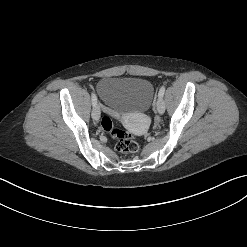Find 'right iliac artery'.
<instances>
[{"mask_svg": "<svg viewBox=\"0 0 247 247\" xmlns=\"http://www.w3.org/2000/svg\"><path fill=\"white\" fill-rule=\"evenodd\" d=\"M92 97V105L93 107H95V105L97 104V97L94 93L91 94Z\"/></svg>", "mask_w": 247, "mask_h": 247, "instance_id": "obj_1", "label": "right iliac artery"}]
</instances>
